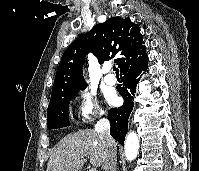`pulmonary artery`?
<instances>
[{
  "instance_id": "obj_1",
  "label": "pulmonary artery",
  "mask_w": 199,
  "mask_h": 171,
  "mask_svg": "<svg viewBox=\"0 0 199 171\" xmlns=\"http://www.w3.org/2000/svg\"><path fill=\"white\" fill-rule=\"evenodd\" d=\"M110 66L107 65L103 68V81L108 85H114L116 83V78L113 74L110 73Z\"/></svg>"
}]
</instances>
